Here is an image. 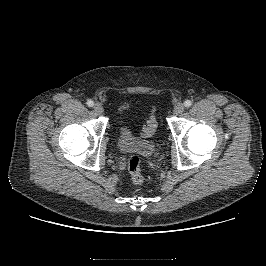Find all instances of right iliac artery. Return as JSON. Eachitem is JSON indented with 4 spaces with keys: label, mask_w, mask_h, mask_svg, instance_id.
Listing matches in <instances>:
<instances>
[{
    "label": "right iliac artery",
    "mask_w": 266,
    "mask_h": 266,
    "mask_svg": "<svg viewBox=\"0 0 266 266\" xmlns=\"http://www.w3.org/2000/svg\"><path fill=\"white\" fill-rule=\"evenodd\" d=\"M87 105H88L89 107H92V106L94 105V102H93L92 100H88V101H87Z\"/></svg>",
    "instance_id": "82829eb1"
}]
</instances>
